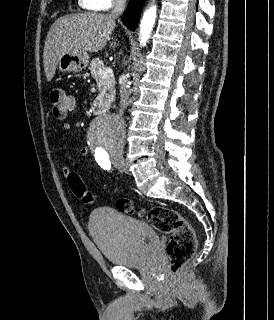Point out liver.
<instances>
[{
  "mask_svg": "<svg viewBox=\"0 0 274 320\" xmlns=\"http://www.w3.org/2000/svg\"><path fill=\"white\" fill-rule=\"evenodd\" d=\"M115 20L110 14L96 12L68 14L55 20L47 34L43 52L44 72L48 82L54 78L57 64L64 54H70L72 50L78 54H93L105 48L116 28Z\"/></svg>",
  "mask_w": 274,
  "mask_h": 320,
  "instance_id": "liver-1",
  "label": "liver"
}]
</instances>
